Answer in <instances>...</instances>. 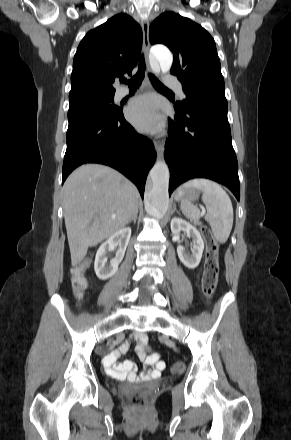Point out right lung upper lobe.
I'll list each match as a JSON object with an SVG mask.
<instances>
[{
  "label": "right lung upper lobe",
  "instance_id": "right-lung-upper-lobe-1",
  "mask_svg": "<svg viewBox=\"0 0 291 440\" xmlns=\"http://www.w3.org/2000/svg\"><path fill=\"white\" fill-rule=\"evenodd\" d=\"M141 46L142 29L127 14L89 31L74 56L69 101L114 95L113 83L125 73L132 75Z\"/></svg>",
  "mask_w": 291,
  "mask_h": 440
}]
</instances>
